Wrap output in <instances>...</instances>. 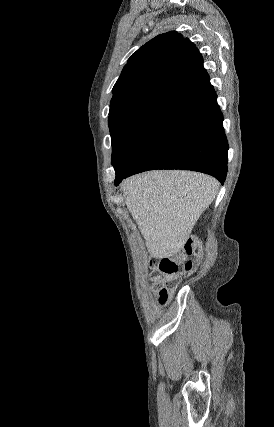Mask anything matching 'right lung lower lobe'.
<instances>
[{
  "label": "right lung lower lobe",
  "instance_id": "1",
  "mask_svg": "<svg viewBox=\"0 0 274 427\" xmlns=\"http://www.w3.org/2000/svg\"><path fill=\"white\" fill-rule=\"evenodd\" d=\"M228 143L213 86L208 83L176 102L136 157L114 166L117 186L123 178L152 169H185L216 177L227 174Z\"/></svg>",
  "mask_w": 274,
  "mask_h": 427
}]
</instances>
